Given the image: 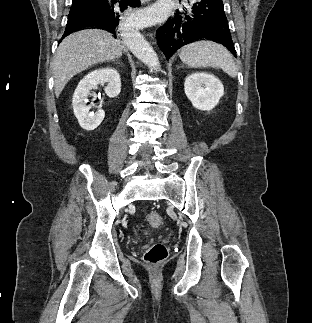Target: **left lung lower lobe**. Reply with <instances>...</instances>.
Instances as JSON below:
<instances>
[{
	"label": "left lung lower lobe",
	"mask_w": 312,
	"mask_h": 323,
	"mask_svg": "<svg viewBox=\"0 0 312 323\" xmlns=\"http://www.w3.org/2000/svg\"><path fill=\"white\" fill-rule=\"evenodd\" d=\"M156 35L167 59L183 45L198 40L219 42L236 56L222 0H194L183 11L177 10Z\"/></svg>",
	"instance_id": "1"
}]
</instances>
